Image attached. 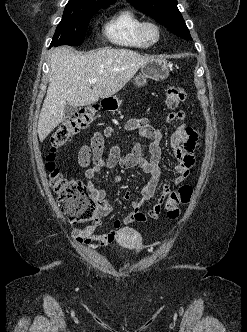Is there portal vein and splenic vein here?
Returning <instances> with one entry per match:
<instances>
[{
    "mask_svg": "<svg viewBox=\"0 0 247 332\" xmlns=\"http://www.w3.org/2000/svg\"><path fill=\"white\" fill-rule=\"evenodd\" d=\"M96 82H97V79H91V80L89 81L90 85H93V84H95Z\"/></svg>",
    "mask_w": 247,
    "mask_h": 332,
    "instance_id": "portal-vein-and-splenic-vein-1",
    "label": "portal vein and splenic vein"
}]
</instances>
